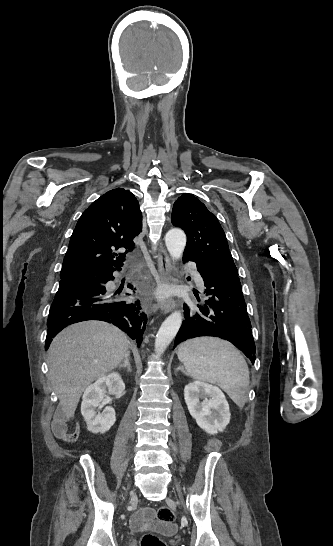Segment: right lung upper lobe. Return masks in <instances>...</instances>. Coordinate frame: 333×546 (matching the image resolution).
Returning a JSON list of instances; mask_svg holds the SVG:
<instances>
[{
    "instance_id": "right-lung-upper-lobe-1",
    "label": "right lung upper lobe",
    "mask_w": 333,
    "mask_h": 546,
    "mask_svg": "<svg viewBox=\"0 0 333 546\" xmlns=\"http://www.w3.org/2000/svg\"><path fill=\"white\" fill-rule=\"evenodd\" d=\"M141 230L142 214L134 194L122 188L108 191L77 222L63 260L61 281L121 270L125 254L134 248L133 238ZM121 247L127 249L125 253H114Z\"/></svg>"
}]
</instances>
